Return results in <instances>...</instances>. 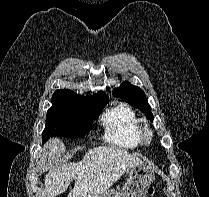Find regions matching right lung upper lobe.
<instances>
[{
    "label": "right lung upper lobe",
    "mask_w": 209,
    "mask_h": 197,
    "mask_svg": "<svg viewBox=\"0 0 209 197\" xmlns=\"http://www.w3.org/2000/svg\"><path fill=\"white\" fill-rule=\"evenodd\" d=\"M89 98L94 99V100H103V99H108V96L104 92L99 91L97 94Z\"/></svg>",
    "instance_id": "right-lung-upper-lobe-1"
}]
</instances>
